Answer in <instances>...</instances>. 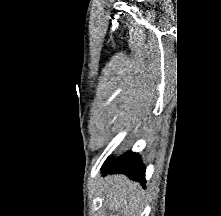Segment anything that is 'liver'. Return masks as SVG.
<instances>
[{
	"instance_id": "1",
	"label": "liver",
	"mask_w": 221,
	"mask_h": 216,
	"mask_svg": "<svg viewBox=\"0 0 221 216\" xmlns=\"http://www.w3.org/2000/svg\"><path fill=\"white\" fill-rule=\"evenodd\" d=\"M100 195L115 216H137L142 203L141 186L124 175H108L100 186Z\"/></svg>"
}]
</instances>
